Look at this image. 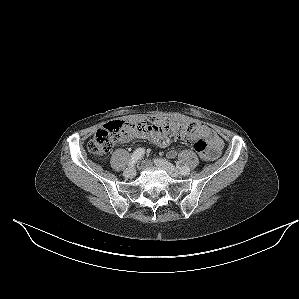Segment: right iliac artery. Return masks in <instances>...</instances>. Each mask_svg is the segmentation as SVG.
<instances>
[{"instance_id":"1","label":"right iliac artery","mask_w":299,"mask_h":299,"mask_svg":"<svg viewBox=\"0 0 299 299\" xmlns=\"http://www.w3.org/2000/svg\"><path fill=\"white\" fill-rule=\"evenodd\" d=\"M144 153L145 150L143 148L136 149L131 155L128 166L133 167L137 163V161L144 155Z\"/></svg>"}]
</instances>
